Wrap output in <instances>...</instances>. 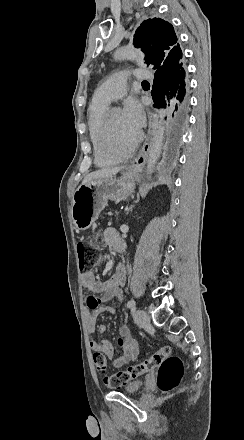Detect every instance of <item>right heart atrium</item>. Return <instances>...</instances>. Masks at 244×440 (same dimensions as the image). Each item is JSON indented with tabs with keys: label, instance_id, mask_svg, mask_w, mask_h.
<instances>
[{
	"label": "right heart atrium",
	"instance_id": "obj_1",
	"mask_svg": "<svg viewBox=\"0 0 244 440\" xmlns=\"http://www.w3.org/2000/svg\"><path fill=\"white\" fill-rule=\"evenodd\" d=\"M131 139H136L137 138V136H135V135H131V137H130Z\"/></svg>",
	"mask_w": 244,
	"mask_h": 440
}]
</instances>
